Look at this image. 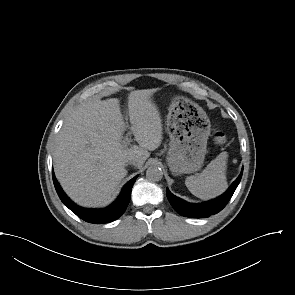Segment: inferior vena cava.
I'll return each instance as SVG.
<instances>
[{
	"label": "inferior vena cava",
	"instance_id": "inferior-vena-cava-1",
	"mask_svg": "<svg viewBox=\"0 0 295 295\" xmlns=\"http://www.w3.org/2000/svg\"><path fill=\"white\" fill-rule=\"evenodd\" d=\"M127 159H128L127 163H130L134 166H137L141 162L140 158L134 154H129Z\"/></svg>",
	"mask_w": 295,
	"mask_h": 295
}]
</instances>
